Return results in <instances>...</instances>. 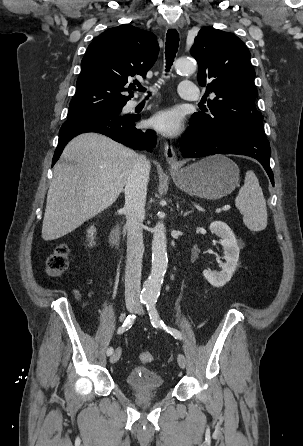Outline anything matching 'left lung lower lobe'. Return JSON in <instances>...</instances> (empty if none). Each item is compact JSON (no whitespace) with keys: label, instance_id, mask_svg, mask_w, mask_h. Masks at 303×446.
Masks as SVG:
<instances>
[{"label":"left lung lower lobe","instance_id":"0a47b994","mask_svg":"<svg viewBox=\"0 0 303 446\" xmlns=\"http://www.w3.org/2000/svg\"><path fill=\"white\" fill-rule=\"evenodd\" d=\"M180 146L183 157L197 158L215 154H238L255 158L262 164L274 185L270 167L271 150L267 138L190 123V127L180 141Z\"/></svg>","mask_w":303,"mask_h":446}]
</instances>
